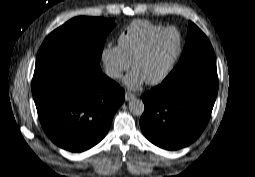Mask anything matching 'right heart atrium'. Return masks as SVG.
Returning <instances> with one entry per match:
<instances>
[{"instance_id": "1", "label": "right heart atrium", "mask_w": 255, "mask_h": 177, "mask_svg": "<svg viewBox=\"0 0 255 177\" xmlns=\"http://www.w3.org/2000/svg\"><path fill=\"white\" fill-rule=\"evenodd\" d=\"M101 60L104 64L107 75L112 79H120L130 67L121 48L117 44H105L101 51Z\"/></svg>"}]
</instances>
